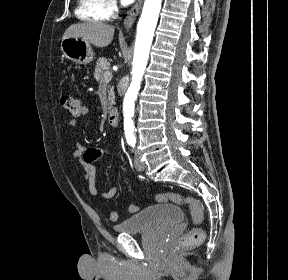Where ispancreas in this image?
Wrapping results in <instances>:
<instances>
[{"mask_svg":"<svg viewBox=\"0 0 288 280\" xmlns=\"http://www.w3.org/2000/svg\"><path fill=\"white\" fill-rule=\"evenodd\" d=\"M110 65L107 62L106 58H99L96 62L95 70H94V77L97 82L99 83H108L104 78V74L109 71ZM115 95H114V87H108V109H110L113 104L115 103Z\"/></svg>","mask_w":288,"mask_h":280,"instance_id":"pancreas-1","label":"pancreas"}]
</instances>
